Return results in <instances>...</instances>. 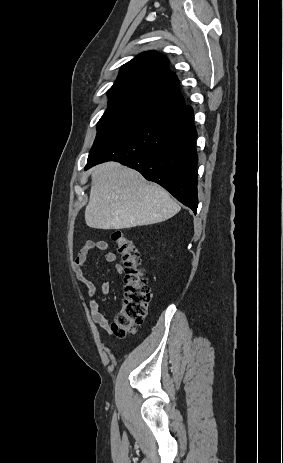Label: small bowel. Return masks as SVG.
Wrapping results in <instances>:
<instances>
[{
    "label": "small bowel",
    "instance_id": "small-bowel-1",
    "mask_svg": "<svg viewBox=\"0 0 283 463\" xmlns=\"http://www.w3.org/2000/svg\"><path fill=\"white\" fill-rule=\"evenodd\" d=\"M96 249L98 251L106 252L105 259L108 263L114 264L115 271L118 274L123 272V266L116 262V255L109 251V244L105 240L99 241H87L78 251L75 257L72 267L76 273L77 279L81 281L87 290V296L90 298L89 308L91 312L92 320L95 324L99 325L104 330L108 331L110 328L109 320L100 311V304L95 298L97 293V285L100 287V293L102 296L108 294L110 286L107 280L93 281L87 277L84 272V268L91 250Z\"/></svg>",
    "mask_w": 283,
    "mask_h": 463
}]
</instances>
